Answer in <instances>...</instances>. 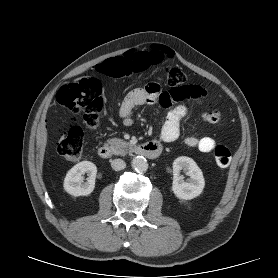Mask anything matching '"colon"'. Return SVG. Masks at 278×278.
Segmentation results:
<instances>
[{
	"mask_svg": "<svg viewBox=\"0 0 278 278\" xmlns=\"http://www.w3.org/2000/svg\"><path fill=\"white\" fill-rule=\"evenodd\" d=\"M163 60V53L157 49L129 53L105 60L96 66V71L109 78L121 79L146 71ZM165 77L176 99L192 98L200 102L205 99V89L200 85L186 84L187 77L179 68H166ZM57 101L74 115L83 113V120L88 128L98 127L105 101L101 82L97 78H83L62 86L58 91ZM82 146L83 131L80 127L74 126L66 139L57 146V152L66 160L77 161L82 156ZM213 156L219 167L226 168L231 162V152L222 144L215 145Z\"/></svg>",
	"mask_w": 278,
	"mask_h": 278,
	"instance_id": "5ec220e1",
	"label": "colon"
}]
</instances>
